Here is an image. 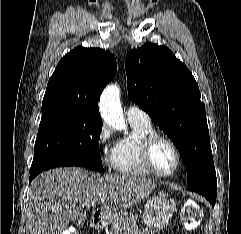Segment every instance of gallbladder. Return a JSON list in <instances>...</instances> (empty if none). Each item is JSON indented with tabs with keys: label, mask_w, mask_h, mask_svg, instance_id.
Wrapping results in <instances>:
<instances>
[{
	"label": "gallbladder",
	"mask_w": 241,
	"mask_h": 234,
	"mask_svg": "<svg viewBox=\"0 0 241 234\" xmlns=\"http://www.w3.org/2000/svg\"><path fill=\"white\" fill-rule=\"evenodd\" d=\"M85 213L82 211V210H80V211H78L77 212V217H76V220H75V223H77V224H83L84 223V221H85Z\"/></svg>",
	"instance_id": "bac80fb5"
}]
</instances>
